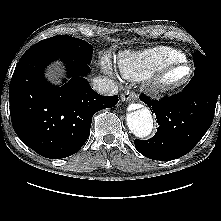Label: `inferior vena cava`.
I'll return each instance as SVG.
<instances>
[{
  "label": "inferior vena cava",
  "mask_w": 221,
  "mask_h": 221,
  "mask_svg": "<svg viewBox=\"0 0 221 221\" xmlns=\"http://www.w3.org/2000/svg\"><path fill=\"white\" fill-rule=\"evenodd\" d=\"M93 89L102 95H116L118 93V85L113 80L98 76L92 80Z\"/></svg>",
  "instance_id": "602c4592"
}]
</instances>
